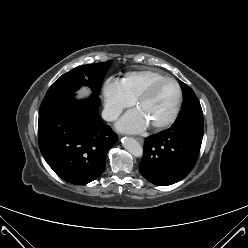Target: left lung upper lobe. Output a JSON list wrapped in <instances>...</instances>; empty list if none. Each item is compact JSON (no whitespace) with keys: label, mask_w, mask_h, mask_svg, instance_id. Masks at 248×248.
<instances>
[{"label":"left lung upper lobe","mask_w":248,"mask_h":248,"mask_svg":"<svg viewBox=\"0 0 248 248\" xmlns=\"http://www.w3.org/2000/svg\"><path fill=\"white\" fill-rule=\"evenodd\" d=\"M179 83L183 91L184 106L175 123L188 122L194 119H202V108L194 91L182 81H179Z\"/></svg>","instance_id":"1"}]
</instances>
